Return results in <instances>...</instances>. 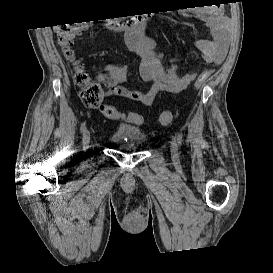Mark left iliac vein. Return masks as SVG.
Wrapping results in <instances>:
<instances>
[{"instance_id": "4c4485c4", "label": "left iliac vein", "mask_w": 273, "mask_h": 273, "mask_svg": "<svg viewBox=\"0 0 273 273\" xmlns=\"http://www.w3.org/2000/svg\"><path fill=\"white\" fill-rule=\"evenodd\" d=\"M170 153H171V158L173 162L178 163L179 162L178 145L175 140L171 141Z\"/></svg>"}]
</instances>
